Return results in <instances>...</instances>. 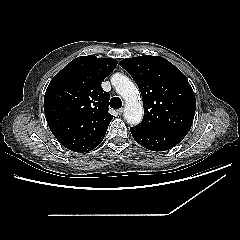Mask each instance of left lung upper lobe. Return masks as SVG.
I'll use <instances>...</instances> for the list:
<instances>
[{
  "instance_id": "5c2ea615",
  "label": "left lung upper lobe",
  "mask_w": 240,
  "mask_h": 240,
  "mask_svg": "<svg viewBox=\"0 0 240 240\" xmlns=\"http://www.w3.org/2000/svg\"><path fill=\"white\" fill-rule=\"evenodd\" d=\"M136 84L143 99L144 117L136 127L149 131L189 132L196 99L185 75L160 56H140L120 62Z\"/></svg>"
}]
</instances>
